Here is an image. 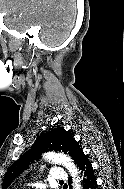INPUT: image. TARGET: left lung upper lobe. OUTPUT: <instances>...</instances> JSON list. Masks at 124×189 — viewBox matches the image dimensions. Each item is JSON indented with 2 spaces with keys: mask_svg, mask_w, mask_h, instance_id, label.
Segmentation results:
<instances>
[{
  "mask_svg": "<svg viewBox=\"0 0 124 189\" xmlns=\"http://www.w3.org/2000/svg\"><path fill=\"white\" fill-rule=\"evenodd\" d=\"M53 150L69 154L77 166L79 159L84 154L72 133L62 127L52 129L41 134L35 140L29 152L21 156L10 166L4 176L2 189H6L12 180L27 168L29 162L39 158L41 153Z\"/></svg>",
  "mask_w": 124,
  "mask_h": 189,
  "instance_id": "obj_1",
  "label": "left lung upper lobe"
}]
</instances>
